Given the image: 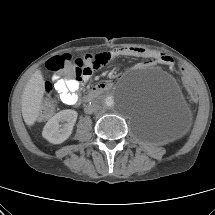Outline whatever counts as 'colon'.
Wrapping results in <instances>:
<instances>
[{"label":"colon","instance_id":"obj_1","mask_svg":"<svg viewBox=\"0 0 215 215\" xmlns=\"http://www.w3.org/2000/svg\"><path fill=\"white\" fill-rule=\"evenodd\" d=\"M46 67L48 70L58 73L60 72L63 76L71 77L72 75L80 76V60H77L74 64L71 61V56L68 54L54 56L50 58L46 62ZM176 71L178 73V77L181 80L184 91L188 95H192L195 93L196 88L194 86L193 80L189 77L187 72V68L185 65L180 64L177 66ZM54 109V103L52 100V85L47 84L46 86V97L44 101V106L42 109V116H49Z\"/></svg>","mask_w":215,"mask_h":215}]
</instances>
